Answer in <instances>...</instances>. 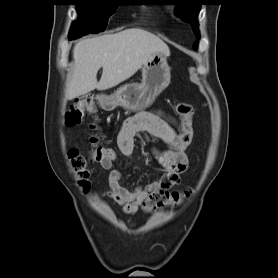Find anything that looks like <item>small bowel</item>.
Instances as JSON below:
<instances>
[{
    "instance_id": "c3829d8e",
    "label": "small bowel",
    "mask_w": 278,
    "mask_h": 278,
    "mask_svg": "<svg viewBox=\"0 0 278 278\" xmlns=\"http://www.w3.org/2000/svg\"><path fill=\"white\" fill-rule=\"evenodd\" d=\"M180 129L181 126L177 127L175 119L161 111L140 112L124 121L117 137L118 149L123 155L130 156L134 152L136 137L142 132L160 138L166 145L164 149L153 150L154 159L160 166V175L154 182L133 190L121 185L122 174L115 168L116 158L99 161L100 167L109 171V190L105 196L121 205L125 214L134 215L151 193L168 191L180 182L182 173L188 167L186 153L174 147Z\"/></svg>"
}]
</instances>
